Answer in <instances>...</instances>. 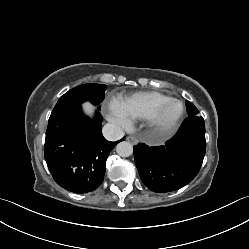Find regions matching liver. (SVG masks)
I'll use <instances>...</instances> for the list:
<instances>
[{"label": "liver", "mask_w": 249, "mask_h": 249, "mask_svg": "<svg viewBox=\"0 0 249 249\" xmlns=\"http://www.w3.org/2000/svg\"><path fill=\"white\" fill-rule=\"evenodd\" d=\"M83 110L87 115L92 116L93 111H94V107L89 102H85L83 104Z\"/></svg>", "instance_id": "1"}]
</instances>
